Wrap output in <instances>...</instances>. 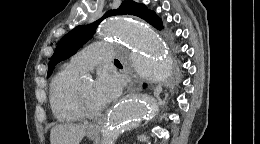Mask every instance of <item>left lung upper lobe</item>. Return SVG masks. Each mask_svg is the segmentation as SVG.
Segmentation results:
<instances>
[{"label": "left lung upper lobe", "mask_w": 260, "mask_h": 144, "mask_svg": "<svg viewBox=\"0 0 260 144\" xmlns=\"http://www.w3.org/2000/svg\"><path fill=\"white\" fill-rule=\"evenodd\" d=\"M127 14L138 16L159 30L163 28L161 19L158 18L155 12L147 9L144 4H139L134 1H123L118 9L107 11L98 21L86 26H77L66 34L59 41L55 52L50 59L47 77L51 75L56 63L65 60L76 53V51L92 36L103 19L109 16Z\"/></svg>", "instance_id": "5c2ea615"}]
</instances>
